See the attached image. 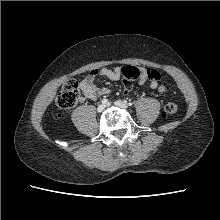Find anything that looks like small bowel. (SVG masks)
<instances>
[{"label": "small bowel", "instance_id": "c3829d8e", "mask_svg": "<svg viewBox=\"0 0 220 220\" xmlns=\"http://www.w3.org/2000/svg\"><path fill=\"white\" fill-rule=\"evenodd\" d=\"M148 69L141 70V77L139 83L141 85L145 84L150 78L148 77ZM99 77H105L112 81H117L121 77V69L116 67L114 69L110 68H98L92 70L86 78H84L80 87L83 91L84 96L89 100H96L101 95H106L110 90L106 87H98L96 80ZM158 87V79H152L149 83V88L154 90Z\"/></svg>", "mask_w": 220, "mask_h": 220}]
</instances>
